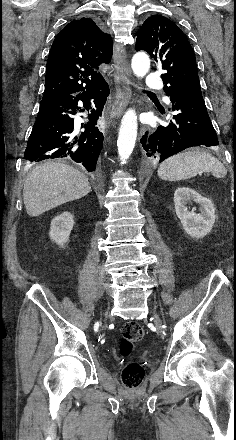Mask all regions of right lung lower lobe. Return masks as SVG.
Segmentation results:
<instances>
[{
    "label": "right lung lower lobe",
    "instance_id": "right-lung-lower-lobe-1",
    "mask_svg": "<svg viewBox=\"0 0 236 440\" xmlns=\"http://www.w3.org/2000/svg\"><path fill=\"white\" fill-rule=\"evenodd\" d=\"M108 95L104 82L91 91L42 99L24 158L30 162L65 158L95 173L104 139L95 125ZM84 111L89 120L80 125L74 115Z\"/></svg>",
    "mask_w": 236,
    "mask_h": 440
}]
</instances>
